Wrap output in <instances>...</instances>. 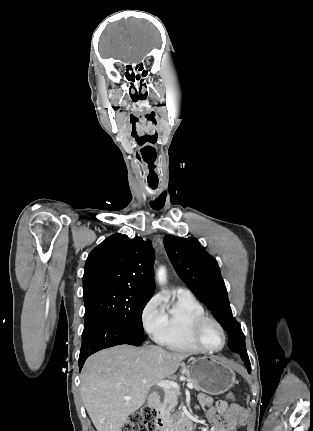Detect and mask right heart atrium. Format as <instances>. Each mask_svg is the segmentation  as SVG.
Instances as JSON below:
<instances>
[{
    "label": "right heart atrium",
    "instance_id": "right-heart-atrium-1",
    "mask_svg": "<svg viewBox=\"0 0 313 431\" xmlns=\"http://www.w3.org/2000/svg\"><path fill=\"white\" fill-rule=\"evenodd\" d=\"M141 321L144 329L157 340L165 327V308L160 295L152 296L144 305Z\"/></svg>",
    "mask_w": 313,
    "mask_h": 431
}]
</instances>
